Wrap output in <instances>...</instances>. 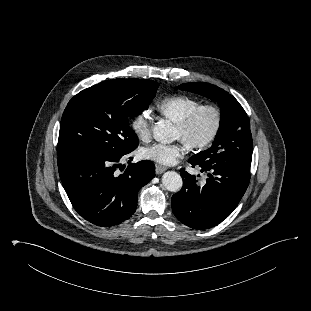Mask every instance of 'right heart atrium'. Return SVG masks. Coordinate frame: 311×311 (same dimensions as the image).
Instances as JSON below:
<instances>
[{
    "instance_id": "d8ad5b80",
    "label": "right heart atrium",
    "mask_w": 311,
    "mask_h": 311,
    "mask_svg": "<svg viewBox=\"0 0 311 311\" xmlns=\"http://www.w3.org/2000/svg\"><path fill=\"white\" fill-rule=\"evenodd\" d=\"M131 129L141 141H147L151 136V115L148 110H143L131 120Z\"/></svg>"
}]
</instances>
